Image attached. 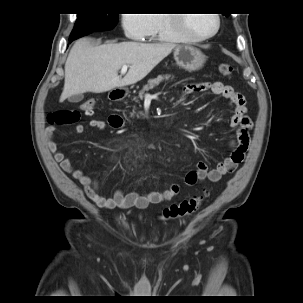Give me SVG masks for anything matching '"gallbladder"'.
Listing matches in <instances>:
<instances>
[{"label":"gallbladder","mask_w":303,"mask_h":303,"mask_svg":"<svg viewBox=\"0 0 303 303\" xmlns=\"http://www.w3.org/2000/svg\"><path fill=\"white\" fill-rule=\"evenodd\" d=\"M83 99V96L81 94L79 95H73L71 97H69V102H72V103H77V102H80L81 100Z\"/></svg>","instance_id":"gallbladder-1"}]
</instances>
